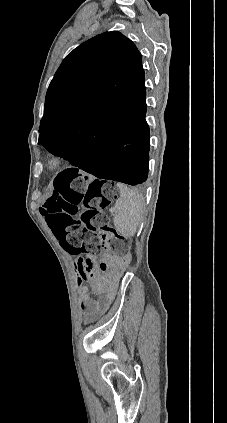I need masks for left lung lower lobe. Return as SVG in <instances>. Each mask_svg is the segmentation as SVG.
<instances>
[{"label": "left lung lower lobe", "mask_w": 227, "mask_h": 423, "mask_svg": "<svg viewBox=\"0 0 227 423\" xmlns=\"http://www.w3.org/2000/svg\"><path fill=\"white\" fill-rule=\"evenodd\" d=\"M145 114L146 110L108 112L84 134L54 141L46 149L98 178L141 184L147 179L149 161ZM77 172L68 169L65 174Z\"/></svg>", "instance_id": "1"}]
</instances>
